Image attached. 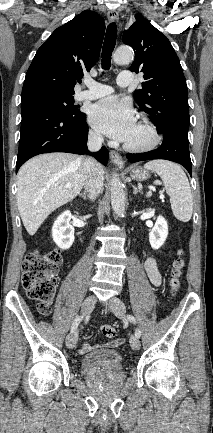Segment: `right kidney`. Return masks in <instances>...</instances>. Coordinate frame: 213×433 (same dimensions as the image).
Listing matches in <instances>:
<instances>
[{
  "label": "right kidney",
  "mask_w": 213,
  "mask_h": 433,
  "mask_svg": "<svg viewBox=\"0 0 213 433\" xmlns=\"http://www.w3.org/2000/svg\"><path fill=\"white\" fill-rule=\"evenodd\" d=\"M71 218V212L65 211L53 224L52 238L60 249H69L74 242V227L70 224Z\"/></svg>",
  "instance_id": "obj_1"
}]
</instances>
